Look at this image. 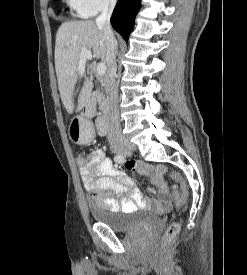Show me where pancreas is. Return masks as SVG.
Instances as JSON below:
<instances>
[{
    "label": "pancreas",
    "instance_id": "1",
    "mask_svg": "<svg viewBox=\"0 0 247 275\" xmlns=\"http://www.w3.org/2000/svg\"><path fill=\"white\" fill-rule=\"evenodd\" d=\"M97 103L101 112H105L107 110L108 103L106 97L103 94H99L97 96Z\"/></svg>",
    "mask_w": 247,
    "mask_h": 275
}]
</instances>
